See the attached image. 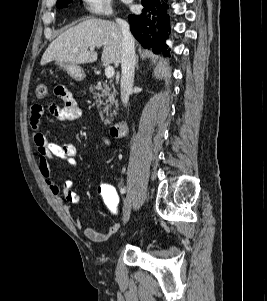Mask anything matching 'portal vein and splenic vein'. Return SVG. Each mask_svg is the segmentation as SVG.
Listing matches in <instances>:
<instances>
[{"label": "portal vein and splenic vein", "instance_id": "obj_1", "mask_svg": "<svg viewBox=\"0 0 267 301\" xmlns=\"http://www.w3.org/2000/svg\"><path fill=\"white\" fill-rule=\"evenodd\" d=\"M90 50H94L95 48L94 47H90L89 48ZM115 74V70L112 66H107L105 68V75L108 79L112 78Z\"/></svg>", "mask_w": 267, "mask_h": 301}]
</instances>
